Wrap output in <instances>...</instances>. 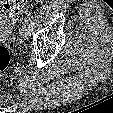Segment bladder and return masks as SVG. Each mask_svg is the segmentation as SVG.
Listing matches in <instances>:
<instances>
[{
    "mask_svg": "<svg viewBox=\"0 0 113 113\" xmlns=\"http://www.w3.org/2000/svg\"><path fill=\"white\" fill-rule=\"evenodd\" d=\"M10 26H8V27H6V28H4V29H1V35H0V37H1V40H3V39H5L6 37H7V35L9 34V32H10Z\"/></svg>",
    "mask_w": 113,
    "mask_h": 113,
    "instance_id": "31cf9c89",
    "label": "bladder"
}]
</instances>
